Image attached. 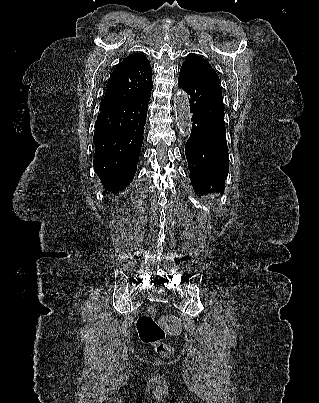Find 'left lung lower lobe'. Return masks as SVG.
<instances>
[{
  "label": "left lung lower lobe",
  "mask_w": 319,
  "mask_h": 403,
  "mask_svg": "<svg viewBox=\"0 0 319 403\" xmlns=\"http://www.w3.org/2000/svg\"><path fill=\"white\" fill-rule=\"evenodd\" d=\"M178 86L189 96L192 130L185 145L195 193L225 189L229 171L222 91L219 83L181 68Z\"/></svg>",
  "instance_id": "obj_1"
}]
</instances>
